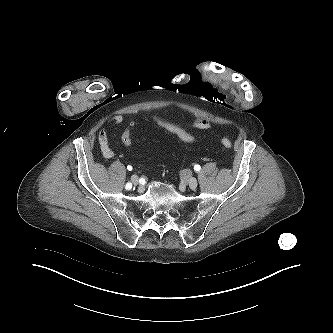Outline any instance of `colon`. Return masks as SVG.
<instances>
[{"label":"colon","mask_w":333,"mask_h":333,"mask_svg":"<svg viewBox=\"0 0 333 333\" xmlns=\"http://www.w3.org/2000/svg\"><path fill=\"white\" fill-rule=\"evenodd\" d=\"M146 120L153 121L160 127L175 134L178 138H180L182 141H184L186 143H194L196 141V138L193 135H191L190 133H188L185 129H183L182 127H180L174 123H171L161 117L149 116L146 118ZM137 123H138L137 120H132L128 123V125L124 129L122 136H121V140L124 145L130 146L132 144V132ZM221 143L223 144L224 147H226L228 149H230L232 147L231 141L227 138H222Z\"/></svg>","instance_id":"5ec220e1"}]
</instances>
